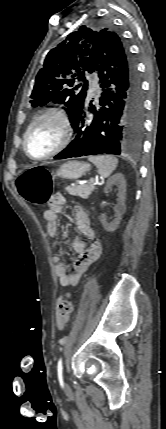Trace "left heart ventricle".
I'll return each instance as SVG.
<instances>
[{"instance_id":"b2bd125f","label":"left heart ventricle","mask_w":166,"mask_h":429,"mask_svg":"<svg viewBox=\"0 0 166 429\" xmlns=\"http://www.w3.org/2000/svg\"><path fill=\"white\" fill-rule=\"evenodd\" d=\"M61 126L54 119L39 122L30 132L27 148L34 157H42L51 152L60 142Z\"/></svg>"}]
</instances>
